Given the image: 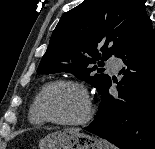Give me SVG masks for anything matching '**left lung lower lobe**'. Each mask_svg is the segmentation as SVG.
I'll list each match as a JSON object with an SVG mask.
<instances>
[{
	"label": "left lung lower lobe",
	"mask_w": 155,
	"mask_h": 149,
	"mask_svg": "<svg viewBox=\"0 0 155 149\" xmlns=\"http://www.w3.org/2000/svg\"><path fill=\"white\" fill-rule=\"evenodd\" d=\"M115 56L123 61L118 97L109 94L110 80L84 129L121 149H155V30L149 17Z\"/></svg>",
	"instance_id": "obj_1"
}]
</instances>
